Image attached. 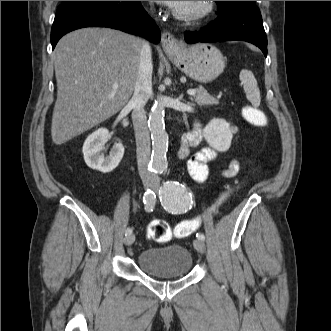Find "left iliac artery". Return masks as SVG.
Masks as SVG:
<instances>
[{"label": "left iliac artery", "mask_w": 331, "mask_h": 331, "mask_svg": "<svg viewBox=\"0 0 331 331\" xmlns=\"http://www.w3.org/2000/svg\"><path fill=\"white\" fill-rule=\"evenodd\" d=\"M163 169H157L155 173H163ZM160 201L164 209L172 214H182L187 212L192 207V197L184 185L179 182H165L161 188ZM196 237L205 240L202 233H197Z\"/></svg>", "instance_id": "44dca946"}]
</instances>
